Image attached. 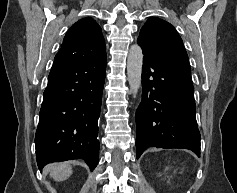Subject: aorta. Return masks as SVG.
<instances>
[{"mask_svg":"<svg viewBox=\"0 0 237 193\" xmlns=\"http://www.w3.org/2000/svg\"><path fill=\"white\" fill-rule=\"evenodd\" d=\"M143 52L140 46L132 45L127 58V76L131 93L136 97L141 86Z\"/></svg>","mask_w":237,"mask_h":193,"instance_id":"1","label":"aorta"}]
</instances>
